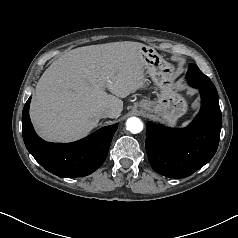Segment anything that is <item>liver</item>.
<instances>
[{
  "instance_id": "1",
  "label": "liver",
  "mask_w": 238,
  "mask_h": 238,
  "mask_svg": "<svg viewBox=\"0 0 238 238\" xmlns=\"http://www.w3.org/2000/svg\"><path fill=\"white\" fill-rule=\"evenodd\" d=\"M142 46L131 41L84 46L56 59L39 79L30 105L37 133L45 140L70 142L97 126L101 108L118 117L120 98L148 85L139 56Z\"/></svg>"
}]
</instances>
